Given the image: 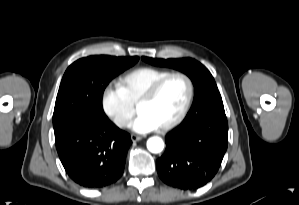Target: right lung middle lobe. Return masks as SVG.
<instances>
[{
    "label": "right lung middle lobe",
    "mask_w": 299,
    "mask_h": 205,
    "mask_svg": "<svg viewBox=\"0 0 299 205\" xmlns=\"http://www.w3.org/2000/svg\"><path fill=\"white\" fill-rule=\"evenodd\" d=\"M132 57L89 56L71 64L60 84L54 113V132L85 116L107 118L102 108V95L108 83L133 66Z\"/></svg>",
    "instance_id": "right-lung-middle-lobe-1"
}]
</instances>
